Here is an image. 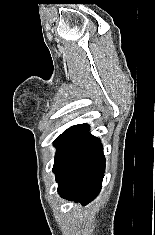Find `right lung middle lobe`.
<instances>
[{
    "label": "right lung middle lobe",
    "mask_w": 155,
    "mask_h": 235,
    "mask_svg": "<svg viewBox=\"0 0 155 235\" xmlns=\"http://www.w3.org/2000/svg\"><path fill=\"white\" fill-rule=\"evenodd\" d=\"M89 130L87 124L75 125L64 131L55 141L54 145L57 147L56 160L64 153V151L81 135Z\"/></svg>",
    "instance_id": "1"
}]
</instances>
